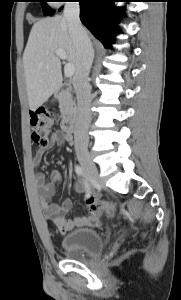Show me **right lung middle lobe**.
<instances>
[{
	"instance_id": "obj_1",
	"label": "right lung middle lobe",
	"mask_w": 181,
	"mask_h": 300,
	"mask_svg": "<svg viewBox=\"0 0 181 300\" xmlns=\"http://www.w3.org/2000/svg\"><path fill=\"white\" fill-rule=\"evenodd\" d=\"M33 1H39L41 3L44 15H49V14L53 15L54 12L46 4L47 0H33Z\"/></svg>"
}]
</instances>
